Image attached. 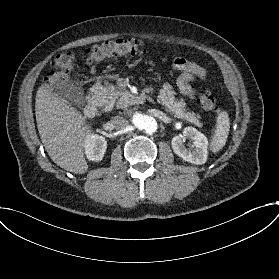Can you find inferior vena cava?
<instances>
[{
  "label": "inferior vena cava",
  "mask_w": 279,
  "mask_h": 279,
  "mask_svg": "<svg viewBox=\"0 0 279 279\" xmlns=\"http://www.w3.org/2000/svg\"><path fill=\"white\" fill-rule=\"evenodd\" d=\"M128 120L121 116H114L111 118L109 125L112 129L121 130L128 126Z\"/></svg>",
  "instance_id": "obj_1"
}]
</instances>
